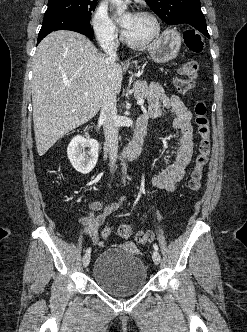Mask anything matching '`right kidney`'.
<instances>
[{"label":"right kidney","instance_id":"ca27d5eb","mask_svg":"<svg viewBox=\"0 0 247 332\" xmlns=\"http://www.w3.org/2000/svg\"><path fill=\"white\" fill-rule=\"evenodd\" d=\"M88 147L89 151L85 152ZM99 144L97 140L75 136L67 147V155L70 163L76 171L82 174L90 173L98 160Z\"/></svg>","mask_w":247,"mask_h":332}]
</instances>
